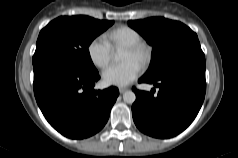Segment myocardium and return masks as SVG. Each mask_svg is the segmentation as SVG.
<instances>
[{"instance_id":"f54148a6","label":"myocardium","mask_w":238,"mask_h":158,"mask_svg":"<svg viewBox=\"0 0 238 158\" xmlns=\"http://www.w3.org/2000/svg\"><path fill=\"white\" fill-rule=\"evenodd\" d=\"M126 50L132 52L142 66H146L151 59V48L144 42H138L125 47Z\"/></svg>"}]
</instances>
